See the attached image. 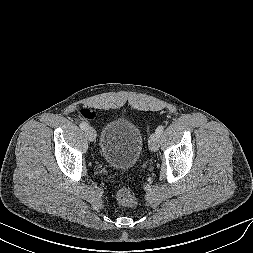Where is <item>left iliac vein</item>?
Instances as JSON below:
<instances>
[{"label": "left iliac vein", "mask_w": 253, "mask_h": 253, "mask_svg": "<svg viewBox=\"0 0 253 253\" xmlns=\"http://www.w3.org/2000/svg\"><path fill=\"white\" fill-rule=\"evenodd\" d=\"M149 149L153 152L157 151L158 148H159V145H160V136L156 133H153L151 136H150V139H149Z\"/></svg>", "instance_id": "left-iliac-vein-1"}]
</instances>
